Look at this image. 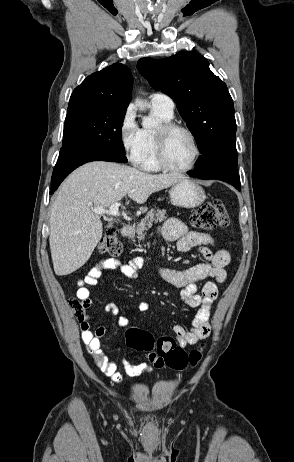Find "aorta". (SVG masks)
I'll return each mask as SVG.
<instances>
[{"label":"aorta","instance_id":"obj_1","mask_svg":"<svg viewBox=\"0 0 294 462\" xmlns=\"http://www.w3.org/2000/svg\"><path fill=\"white\" fill-rule=\"evenodd\" d=\"M139 107L141 110L145 109V106L142 104H139ZM142 125L143 127L150 128V127H155L157 125V122L152 118H144L142 120Z\"/></svg>","mask_w":294,"mask_h":462}]
</instances>
